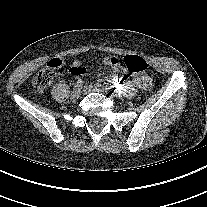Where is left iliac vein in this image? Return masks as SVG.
Segmentation results:
<instances>
[{
  "mask_svg": "<svg viewBox=\"0 0 207 207\" xmlns=\"http://www.w3.org/2000/svg\"><path fill=\"white\" fill-rule=\"evenodd\" d=\"M82 92L85 94L90 93V92H100V93H103L107 99L115 101V98L112 97V93L107 91V89H105V88H99V87L89 85V86H84L82 88Z\"/></svg>",
  "mask_w": 207,
  "mask_h": 207,
  "instance_id": "left-iliac-vein-1",
  "label": "left iliac vein"
}]
</instances>
